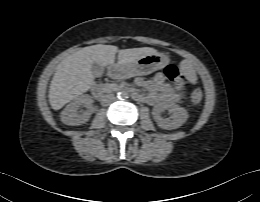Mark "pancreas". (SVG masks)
Here are the masks:
<instances>
[{
  "mask_svg": "<svg viewBox=\"0 0 260 202\" xmlns=\"http://www.w3.org/2000/svg\"><path fill=\"white\" fill-rule=\"evenodd\" d=\"M110 86H114V84H105L104 85V90L109 91Z\"/></svg>",
  "mask_w": 260,
  "mask_h": 202,
  "instance_id": "1",
  "label": "pancreas"
}]
</instances>
